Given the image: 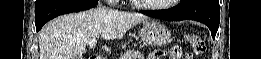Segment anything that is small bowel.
I'll return each mask as SVG.
<instances>
[{"instance_id":"small-bowel-1","label":"small bowel","mask_w":261,"mask_h":59,"mask_svg":"<svg viewBox=\"0 0 261 59\" xmlns=\"http://www.w3.org/2000/svg\"><path fill=\"white\" fill-rule=\"evenodd\" d=\"M159 53H160V54H159ZM190 56H192V55H189V54L186 55V56H185V59H192L193 56H192V58H189ZM151 58H152V59L165 58L164 51H161V50L156 51V52L152 55ZM172 59H174V58H172Z\"/></svg>"}]
</instances>
